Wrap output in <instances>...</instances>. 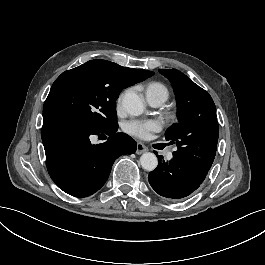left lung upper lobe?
Segmentation results:
<instances>
[{"label":"left lung upper lobe","instance_id":"1","mask_svg":"<svg viewBox=\"0 0 265 265\" xmlns=\"http://www.w3.org/2000/svg\"><path fill=\"white\" fill-rule=\"evenodd\" d=\"M159 72L171 82L178 106L179 121L165 134L166 140L177 144L173 157L206 176L216 155L219 135L215 104L207 91L182 72L176 69Z\"/></svg>","mask_w":265,"mask_h":265}]
</instances>
